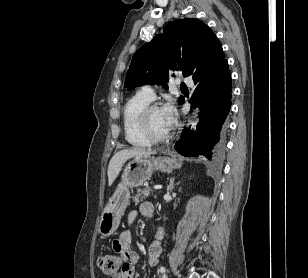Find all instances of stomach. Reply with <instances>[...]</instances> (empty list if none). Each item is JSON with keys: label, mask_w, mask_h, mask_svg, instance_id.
Instances as JSON below:
<instances>
[{"label": "stomach", "mask_w": 308, "mask_h": 278, "mask_svg": "<svg viewBox=\"0 0 308 278\" xmlns=\"http://www.w3.org/2000/svg\"><path fill=\"white\" fill-rule=\"evenodd\" d=\"M176 158L140 156L129 161L123 169L121 180L110 197L99 223V233L103 237L112 235L118 228L126 207L130 203V188L141 186L150 179L154 170L171 172L180 168Z\"/></svg>", "instance_id": "stomach-1"}]
</instances>
